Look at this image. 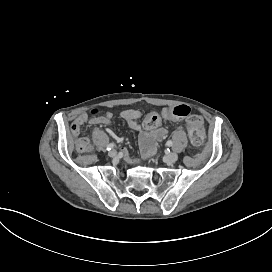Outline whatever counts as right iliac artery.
Masks as SVG:
<instances>
[{"label": "right iliac artery", "mask_w": 272, "mask_h": 272, "mask_svg": "<svg viewBox=\"0 0 272 272\" xmlns=\"http://www.w3.org/2000/svg\"><path fill=\"white\" fill-rule=\"evenodd\" d=\"M114 146H115V145H114L113 143H110V144L107 146L106 149H107L108 151H110V150H112V149L114 148Z\"/></svg>", "instance_id": "right-iliac-artery-1"}]
</instances>
